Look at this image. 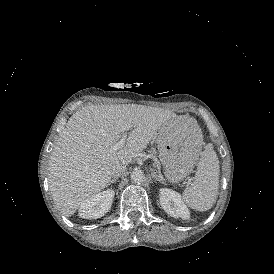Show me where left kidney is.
Wrapping results in <instances>:
<instances>
[{"mask_svg": "<svg viewBox=\"0 0 274 274\" xmlns=\"http://www.w3.org/2000/svg\"><path fill=\"white\" fill-rule=\"evenodd\" d=\"M160 205L163 210L174 218L188 220L190 212L181 199V195L171 189L161 188L159 194Z\"/></svg>", "mask_w": 274, "mask_h": 274, "instance_id": "1", "label": "left kidney"}]
</instances>
